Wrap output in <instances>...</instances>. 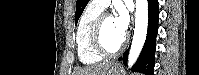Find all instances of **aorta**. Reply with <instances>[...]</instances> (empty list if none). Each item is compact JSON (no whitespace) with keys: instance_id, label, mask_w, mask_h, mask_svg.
<instances>
[{"instance_id":"762f6f07","label":"aorta","mask_w":199,"mask_h":75,"mask_svg":"<svg viewBox=\"0 0 199 75\" xmlns=\"http://www.w3.org/2000/svg\"><path fill=\"white\" fill-rule=\"evenodd\" d=\"M135 5V29L128 57L130 67L135 63L143 48L148 28V1L136 0Z\"/></svg>"}]
</instances>
